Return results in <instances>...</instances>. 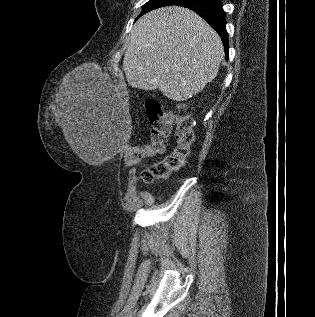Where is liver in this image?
Wrapping results in <instances>:
<instances>
[{"label":"liver","instance_id":"liver-1","mask_svg":"<svg viewBox=\"0 0 315 317\" xmlns=\"http://www.w3.org/2000/svg\"><path fill=\"white\" fill-rule=\"evenodd\" d=\"M224 57L219 35L196 13L169 6L142 16L133 26L123 69L130 86L159 90L174 101L200 92L218 73ZM56 118L69 145L84 158V127L73 91L58 97Z\"/></svg>","mask_w":315,"mask_h":317}]
</instances>
